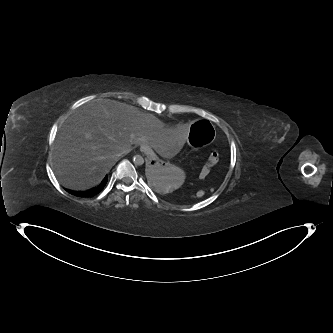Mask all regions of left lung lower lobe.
Masks as SVG:
<instances>
[{
    "label": "left lung lower lobe",
    "mask_w": 333,
    "mask_h": 333,
    "mask_svg": "<svg viewBox=\"0 0 333 333\" xmlns=\"http://www.w3.org/2000/svg\"><path fill=\"white\" fill-rule=\"evenodd\" d=\"M155 170H154V168H152V167H148L147 169H146V175L147 176H151V177H154L155 176Z\"/></svg>",
    "instance_id": "obj_1"
}]
</instances>
